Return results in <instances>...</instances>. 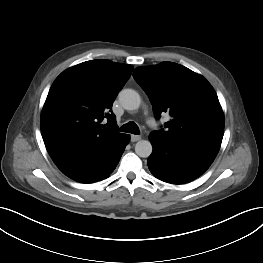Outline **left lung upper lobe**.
Wrapping results in <instances>:
<instances>
[{
	"label": "left lung upper lobe",
	"instance_id": "1",
	"mask_svg": "<svg viewBox=\"0 0 263 263\" xmlns=\"http://www.w3.org/2000/svg\"><path fill=\"white\" fill-rule=\"evenodd\" d=\"M134 79L144 89L156 118L168 112L166 130L171 138H191L220 146L224 115L216 92L201 75L173 62L137 67Z\"/></svg>",
	"mask_w": 263,
	"mask_h": 263
}]
</instances>
